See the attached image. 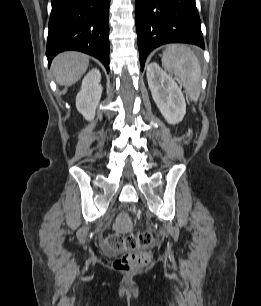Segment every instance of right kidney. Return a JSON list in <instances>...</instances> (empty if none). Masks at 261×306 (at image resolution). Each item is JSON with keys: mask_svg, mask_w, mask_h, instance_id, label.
<instances>
[{"mask_svg": "<svg viewBox=\"0 0 261 306\" xmlns=\"http://www.w3.org/2000/svg\"><path fill=\"white\" fill-rule=\"evenodd\" d=\"M101 74L98 69H92L83 79L81 90L76 96L77 110L88 121L95 116L103 88L100 84Z\"/></svg>", "mask_w": 261, "mask_h": 306, "instance_id": "obj_1", "label": "right kidney"}]
</instances>
